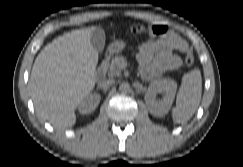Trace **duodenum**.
<instances>
[{
    "label": "duodenum",
    "instance_id": "1",
    "mask_svg": "<svg viewBox=\"0 0 243 167\" xmlns=\"http://www.w3.org/2000/svg\"><path fill=\"white\" fill-rule=\"evenodd\" d=\"M112 54L111 53H107L105 55V59L108 60L109 58H111ZM104 75H105V64L102 63L101 65H99L96 69L95 72V77L97 81H102L104 79Z\"/></svg>",
    "mask_w": 243,
    "mask_h": 167
}]
</instances>
